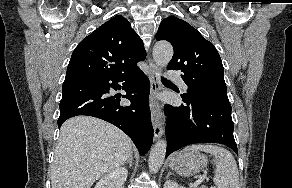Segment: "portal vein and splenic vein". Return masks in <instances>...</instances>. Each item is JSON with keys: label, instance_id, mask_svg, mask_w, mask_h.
Here are the masks:
<instances>
[{"label": "portal vein and splenic vein", "instance_id": "portal-vein-and-splenic-vein-1", "mask_svg": "<svg viewBox=\"0 0 292 188\" xmlns=\"http://www.w3.org/2000/svg\"><path fill=\"white\" fill-rule=\"evenodd\" d=\"M204 180L203 177H200L195 183H194V187H196L199 183H201ZM211 188H215V187H211Z\"/></svg>", "mask_w": 292, "mask_h": 188}]
</instances>
